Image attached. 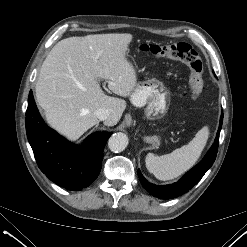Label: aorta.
Masks as SVG:
<instances>
[{"mask_svg":"<svg viewBox=\"0 0 247 247\" xmlns=\"http://www.w3.org/2000/svg\"><path fill=\"white\" fill-rule=\"evenodd\" d=\"M127 145L128 137L124 133H115L108 140L109 149L115 153L122 152Z\"/></svg>","mask_w":247,"mask_h":247,"instance_id":"1","label":"aorta"}]
</instances>
